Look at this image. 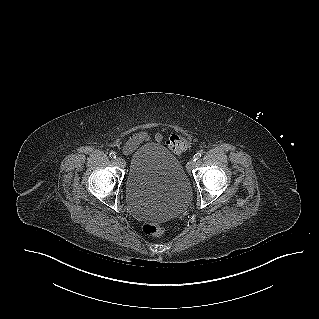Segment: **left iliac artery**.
Segmentation results:
<instances>
[{"label": "left iliac artery", "instance_id": "obj_1", "mask_svg": "<svg viewBox=\"0 0 319 319\" xmlns=\"http://www.w3.org/2000/svg\"><path fill=\"white\" fill-rule=\"evenodd\" d=\"M201 156H202V153L201 152H198V153H196L195 155H194V160L195 161H197V160H199L200 158H201Z\"/></svg>", "mask_w": 319, "mask_h": 319}]
</instances>
